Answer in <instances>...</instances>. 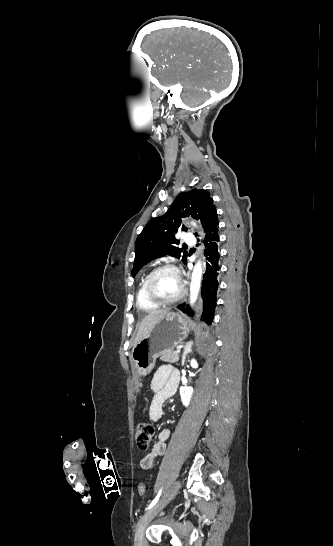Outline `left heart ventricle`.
Returning a JSON list of instances; mask_svg holds the SVG:
<instances>
[{"mask_svg": "<svg viewBox=\"0 0 333 546\" xmlns=\"http://www.w3.org/2000/svg\"><path fill=\"white\" fill-rule=\"evenodd\" d=\"M181 286L179 275L172 270L159 272L152 281L153 292L165 300L176 297L181 291Z\"/></svg>", "mask_w": 333, "mask_h": 546, "instance_id": "b2bd125f", "label": "left heart ventricle"}]
</instances>
